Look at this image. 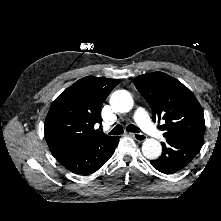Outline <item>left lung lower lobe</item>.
<instances>
[{
  "instance_id": "0a47b994",
  "label": "left lung lower lobe",
  "mask_w": 221,
  "mask_h": 221,
  "mask_svg": "<svg viewBox=\"0 0 221 221\" xmlns=\"http://www.w3.org/2000/svg\"><path fill=\"white\" fill-rule=\"evenodd\" d=\"M204 137H192L180 140H166L162 144L163 152L151 165L165 174H174L185 168L200 151Z\"/></svg>"
}]
</instances>
